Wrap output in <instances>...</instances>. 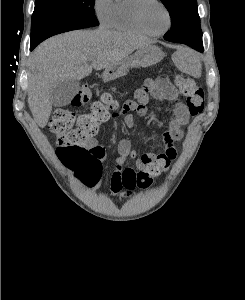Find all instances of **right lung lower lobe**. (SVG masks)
<instances>
[{
    "mask_svg": "<svg viewBox=\"0 0 245 300\" xmlns=\"http://www.w3.org/2000/svg\"><path fill=\"white\" fill-rule=\"evenodd\" d=\"M36 45H31L30 44V50L34 49Z\"/></svg>",
    "mask_w": 245,
    "mask_h": 300,
    "instance_id": "right-lung-lower-lobe-1",
    "label": "right lung lower lobe"
}]
</instances>
